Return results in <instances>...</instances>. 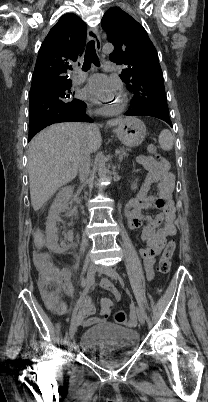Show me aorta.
I'll return each instance as SVG.
<instances>
[{"label": "aorta", "mask_w": 208, "mask_h": 402, "mask_svg": "<svg viewBox=\"0 0 208 402\" xmlns=\"http://www.w3.org/2000/svg\"><path fill=\"white\" fill-rule=\"evenodd\" d=\"M103 52H104V54H107V50H105V48H103ZM110 52H112V50H110ZM97 164H98V168H99L98 175L100 177H103L107 171L104 168V160H102L101 156H100V158H98ZM100 185H103V182H100Z\"/></svg>", "instance_id": "762f6f07"}]
</instances>
